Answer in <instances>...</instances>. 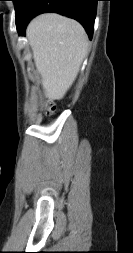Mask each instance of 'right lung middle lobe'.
<instances>
[{
    "label": "right lung middle lobe",
    "instance_id": "obj_1",
    "mask_svg": "<svg viewBox=\"0 0 133 253\" xmlns=\"http://www.w3.org/2000/svg\"><path fill=\"white\" fill-rule=\"evenodd\" d=\"M14 2L15 6V17L16 20L19 18L23 4L25 3L26 0H12Z\"/></svg>",
    "mask_w": 133,
    "mask_h": 253
}]
</instances>
